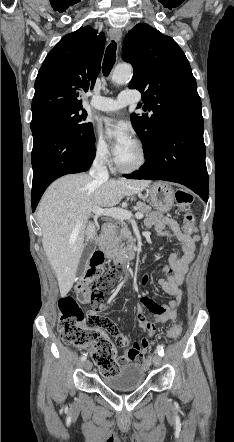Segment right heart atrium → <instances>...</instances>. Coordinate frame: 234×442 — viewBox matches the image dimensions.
I'll list each match as a JSON object with an SVG mask.
<instances>
[{"label":"right heart atrium","mask_w":234,"mask_h":442,"mask_svg":"<svg viewBox=\"0 0 234 442\" xmlns=\"http://www.w3.org/2000/svg\"><path fill=\"white\" fill-rule=\"evenodd\" d=\"M93 153L97 161L108 164L111 161V151L105 140L99 136L94 139Z\"/></svg>","instance_id":"right-heart-atrium-1"}]
</instances>
